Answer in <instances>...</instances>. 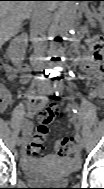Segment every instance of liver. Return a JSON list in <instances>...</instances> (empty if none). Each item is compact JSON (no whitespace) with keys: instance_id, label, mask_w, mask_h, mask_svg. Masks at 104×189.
Wrapping results in <instances>:
<instances>
[{"instance_id":"1","label":"liver","mask_w":104,"mask_h":189,"mask_svg":"<svg viewBox=\"0 0 104 189\" xmlns=\"http://www.w3.org/2000/svg\"><path fill=\"white\" fill-rule=\"evenodd\" d=\"M54 9L55 4L37 1H1L0 3V40L6 42L16 35L21 28L23 20L40 7Z\"/></svg>"}]
</instances>
